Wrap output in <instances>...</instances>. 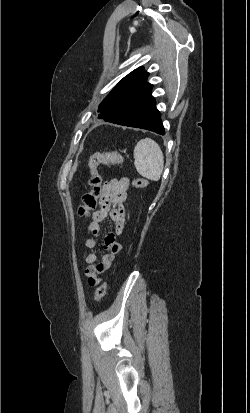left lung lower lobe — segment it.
<instances>
[{"label":"left lung lower lobe","mask_w":250,"mask_h":413,"mask_svg":"<svg viewBox=\"0 0 250 413\" xmlns=\"http://www.w3.org/2000/svg\"><path fill=\"white\" fill-rule=\"evenodd\" d=\"M152 87L147 82L141 84L122 101L121 110L100 119L164 135L161 115L155 106V99L151 95Z\"/></svg>","instance_id":"left-lung-lower-lobe-1"}]
</instances>
